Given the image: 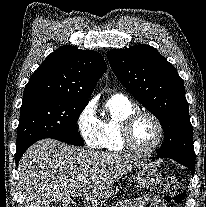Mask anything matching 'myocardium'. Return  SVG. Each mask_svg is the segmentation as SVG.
Masks as SVG:
<instances>
[{"label": "myocardium", "instance_id": "myocardium-1", "mask_svg": "<svg viewBox=\"0 0 206 207\" xmlns=\"http://www.w3.org/2000/svg\"><path fill=\"white\" fill-rule=\"evenodd\" d=\"M143 116L149 117L155 123L158 129V137L155 144L147 150L138 149L134 145L131 135L133 125L139 118ZM120 137L122 145L127 152H130L136 156L145 157L155 153L159 149L165 137V130L161 120L154 113L147 110H135L123 121Z\"/></svg>", "mask_w": 206, "mask_h": 207}]
</instances>
